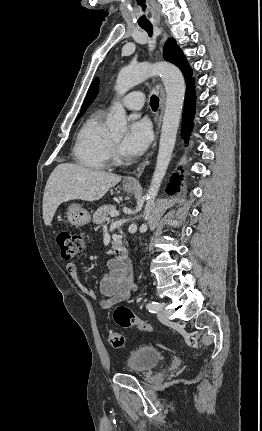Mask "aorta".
I'll return each instance as SVG.
<instances>
[{
	"instance_id": "762f6f07",
	"label": "aorta",
	"mask_w": 262,
	"mask_h": 431,
	"mask_svg": "<svg viewBox=\"0 0 262 431\" xmlns=\"http://www.w3.org/2000/svg\"><path fill=\"white\" fill-rule=\"evenodd\" d=\"M154 75H159L163 81L166 90V105L162 120L156 166L146 194V206L143 218L147 223L150 221L152 206L171 161L176 143L185 97L186 87L184 77L176 66L169 63H140L122 68L115 85V90L120 97L132 87ZM107 126L114 136H122L126 132V112L121 103L115 104L113 116L108 121ZM147 223L141 225L140 230L142 232L147 230Z\"/></svg>"
}]
</instances>
